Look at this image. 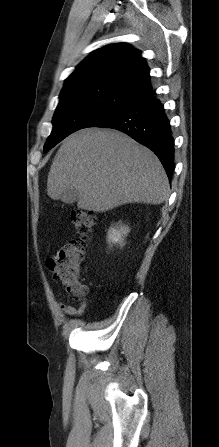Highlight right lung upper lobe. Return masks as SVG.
<instances>
[{
  "instance_id": "cb5924a9",
  "label": "right lung upper lobe",
  "mask_w": 219,
  "mask_h": 447,
  "mask_svg": "<svg viewBox=\"0 0 219 447\" xmlns=\"http://www.w3.org/2000/svg\"><path fill=\"white\" fill-rule=\"evenodd\" d=\"M149 79V69L141 52L125 43H115L97 49L82 61L66 79L64 89L107 86L143 102L153 97Z\"/></svg>"
}]
</instances>
